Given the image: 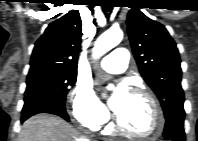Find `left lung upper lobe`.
Instances as JSON below:
<instances>
[{
    "instance_id": "obj_1",
    "label": "left lung upper lobe",
    "mask_w": 198,
    "mask_h": 141,
    "mask_svg": "<svg viewBox=\"0 0 198 141\" xmlns=\"http://www.w3.org/2000/svg\"><path fill=\"white\" fill-rule=\"evenodd\" d=\"M131 8L127 29L133 54L142 77L159 98L167 120L175 112H184L179 52L162 24L137 7Z\"/></svg>"
}]
</instances>
